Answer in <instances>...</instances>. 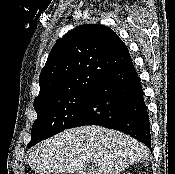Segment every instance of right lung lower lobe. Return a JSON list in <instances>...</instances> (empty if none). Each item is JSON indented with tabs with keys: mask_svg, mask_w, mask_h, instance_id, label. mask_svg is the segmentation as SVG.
<instances>
[{
	"mask_svg": "<svg viewBox=\"0 0 175 174\" xmlns=\"http://www.w3.org/2000/svg\"><path fill=\"white\" fill-rule=\"evenodd\" d=\"M84 125L119 130L151 150L149 116L142 85L132 61L111 71L93 87L68 128Z\"/></svg>",
	"mask_w": 175,
	"mask_h": 174,
	"instance_id": "obj_1",
	"label": "right lung lower lobe"
}]
</instances>
